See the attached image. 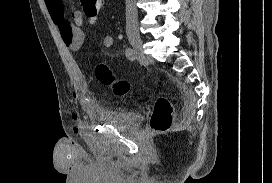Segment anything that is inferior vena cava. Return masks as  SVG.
<instances>
[{
    "label": "inferior vena cava",
    "mask_w": 272,
    "mask_h": 183,
    "mask_svg": "<svg viewBox=\"0 0 272 183\" xmlns=\"http://www.w3.org/2000/svg\"><path fill=\"white\" fill-rule=\"evenodd\" d=\"M138 26L135 0H126V30L129 32Z\"/></svg>",
    "instance_id": "1"
}]
</instances>
